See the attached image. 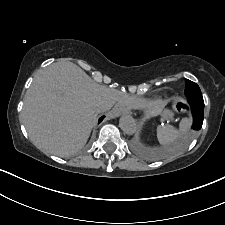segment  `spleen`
<instances>
[{
  "label": "spleen",
  "mask_w": 225,
  "mask_h": 225,
  "mask_svg": "<svg viewBox=\"0 0 225 225\" xmlns=\"http://www.w3.org/2000/svg\"><path fill=\"white\" fill-rule=\"evenodd\" d=\"M191 125L189 118H183L179 124V129H176L172 125H164L157 127V138L160 144L169 145L174 142L181 135L185 134Z\"/></svg>",
  "instance_id": "1"
}]
</instances>
